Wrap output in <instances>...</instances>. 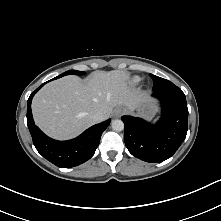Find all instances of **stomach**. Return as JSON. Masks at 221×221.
<instances>
[{
	"label": "stomach",
	"mask_w": 221,
	"mask_h": 221,
	"mask_svg": "<svg viewBox=\"0 0 221 221\" xmlns=\"http://www.w3.org/2000/svg\"><path fill=\"white\" fill-rule=\"evenodd\" d=\"M153 110V105L148 101H142L137 106V113L144 117H150L153 113Z\"/></svg>",
	"instance_id": "obj_1"
}]
</instances>
